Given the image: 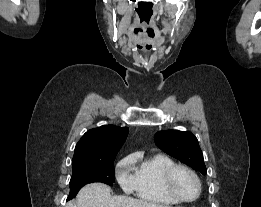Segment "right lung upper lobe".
<instances>
[{"mask_svg":"<svg viewBox=\"0 0 261 207\" xmlns=\"http://www.w3.org/2000/svg\"><path fill=\"white\" fill-rule=\"evenodd\" d=\"M127 135V127L115 125H103L88 130L76 144L72 165L116 157Z\"/></svg>","mask_w":261,"mask_h":207,"instance_id":"obj_1","label":"right lung upper lobe"}]
</instances>
